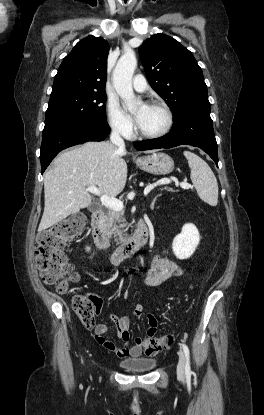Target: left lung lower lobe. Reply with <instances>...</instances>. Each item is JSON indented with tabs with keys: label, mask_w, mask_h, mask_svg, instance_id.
Listing matches in <instances>:
<instances>
[{
	"label": "left lung lower lobe",
	"mask_w": 264,
	"mask_h": 415,
	"mask_svg": "<svg viewBox=\"0 0 264 415\" xmlns=\"http://www.w3.org/2000/svg\"><path fill=\"white\" fill-rule=\"evenodd\" d=\"M191 145L201 148L218 167L217 143L210 117V107L193 108L182 113L174 120L170 132L163 137L137 141V150L172 148L178 145Z\"/></svg>",
	"instance_id": "1"
}]
</instances>
